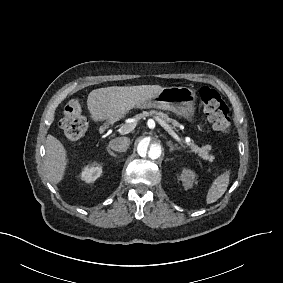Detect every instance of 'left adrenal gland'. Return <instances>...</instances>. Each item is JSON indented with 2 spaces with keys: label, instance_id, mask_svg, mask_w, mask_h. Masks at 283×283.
<instances>
[{
  "label": "left adrenal gland",
  "instance_id": "a2214340",
  "mask_svg": "<svg viewBox=\"0 0 283 283\" xmlns=\"http://www.w3.org/2000/svg\"><path fill=\"white\" fill-rule=\"evenodd\" d=\"M167 144L171 147L170 152L180 150V148H178V147L175 148V146L173 145V142H172V141H168Z\"/></svg>",
  "mask_w": 283,
  "mask_h": 283
}]
</instances>
